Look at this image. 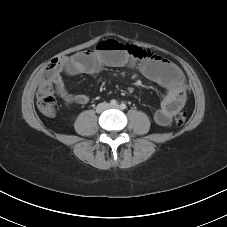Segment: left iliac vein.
I'll return each mask as SVG.
<instances>
[{
  "mask_svg": "<svg viewBox=\"0 0 227 227\" xmlns=\"http://www.w3.org/2000/svg\"><path fill=\"white\" fill-rule=\"evenodd\" d=\"M111 108H116V109H119L120 106L119 105H115V106H110Z\"/></svg>",
  "mask_w": 227,
  "mask_h": 227,
  "instance_id": "left-iliac-vein-1",
  "label": "left iliac vein"
}]
</instances>
